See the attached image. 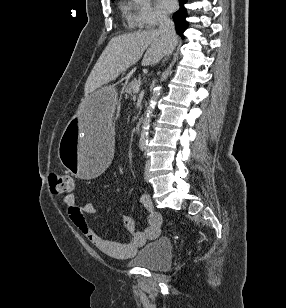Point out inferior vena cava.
<instances>
[{
    "instance_id": "602c4592",
    "label": "inferior vena cava",
    "mask_w": 286,
    "mask_h": 308,
    "mask_svg": "<svg viewBox=\"0 0 286 308\" xmlns=\"http://www.w3.org/2000/svg\"><path fill=\"white\" fill-rule=\"evenodd\" d=\"M157 31L170 43V46L166 53V55L169 56L173 52L177 42L174 22L170 20L167 16H161L159 19V28Z\"/></svg>"
}]
</instances>
